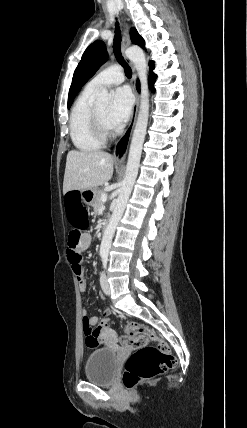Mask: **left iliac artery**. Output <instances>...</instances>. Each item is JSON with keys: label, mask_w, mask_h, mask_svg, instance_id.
<instances>
[{"label": "left iliac artery", "mask_w": 247, "mask_h": 428, "mask_svg": "<svg viewBox=\"0 0 247 428\" xmlns=\"http://www.w3.org/2000/svg\"><path fill=\"white\" fill-rule=\"evenodd\" d=\"M102 262H103L104 268H106V266H107V257L106 256L103 257Z\"/></svg>", "instance_id": "44dca946"}]
</instances>
